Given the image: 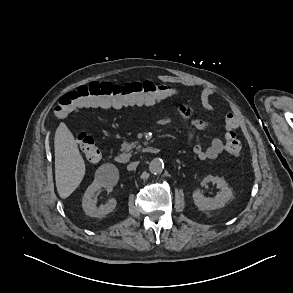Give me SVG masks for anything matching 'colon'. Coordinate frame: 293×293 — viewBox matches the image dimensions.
Instances as JSON below:
<instances>
[{"mask_svg": "<svg viewBox=\"0 0 293 293\" xmlns=\"http://www.w3.org/2000/svg\"><path fill=\"white\" fill-rule=\"evenodd\" d=\"M174 95V89L163 83L152 81L134 82L123 85L113 84L107 81H93L82 85L62 96L54 108L57 117H65L79 109L92 106L122 107L144 101H159ZM239 120L233 114L225 119V149L237 157L241 153V143L236 138L235 130ZM77 144L90 162H98L101 153L95 139L85 132H79L76 136Z\"/></svg>", "mask_w": 293, "mask_h": 293, "instance_id": "1", "label": "colon"}]
</instances>
